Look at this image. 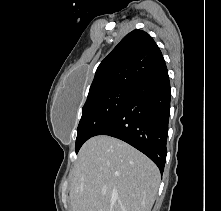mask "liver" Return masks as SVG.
<instances>
[{"label":"liver","mask_w":221,"mask_h":211,"mask_svg":"<svg viewBox=\"0 0 221 211\" xmlns=\"http://www.w3.org/2000/svg\"><path fill=\"white\" fill-rule=\"evenodd\" d=\"M157 166L129 144L106 135L80 149L70 186L72 211H151Z\"/></svg>","instance_id":"liver-1"}]
</instances>
